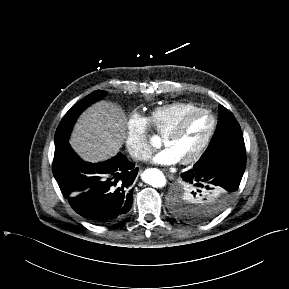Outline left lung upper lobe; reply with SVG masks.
<instances>
[{"mask_svg": "<svg viewBox=\"0 0 289 289\" xmlns=\"http://www.w3.org/2000/svg\"><path fill=\"white\" fill-rule=\"evenodd\" d=\"M228 151H245V144L237 120L229 110L219 105L216 131L199 160ZM171 208L177 217L187 221L201 222L212 218L205 213V203L201 195L195 191V187L187 183L180 184Z\"/></svg>", "mask_w": 289, "mask_h": 289, "instance_id": "5c2ea615", "label": "left lung upper lobe"}]
</instances>
